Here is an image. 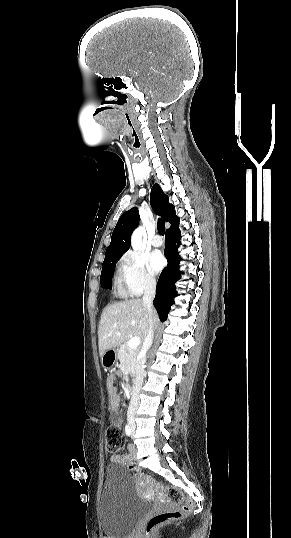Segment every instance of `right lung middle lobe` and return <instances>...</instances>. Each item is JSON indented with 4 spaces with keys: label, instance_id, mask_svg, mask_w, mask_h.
<instances>
[{
    "label": "right lung middle lobe",
    "instance_id": "dd1d6c3e",
    "mask_svg": "<svg viewBox=\"0 0 291 538\" xmlns=\"http://www.w3.org/2000/svg\"><path fill=\"white\" fill-rule=\"evenodd\" d=\"M118 259L119 258L112 259V260L103 262L102 264L100 282L104 288L111 289V277L113 274L115 264L117 263Z\"/></svg>",
    "mask_w": 291,
    "mask_h": 538
}]
</instances>
